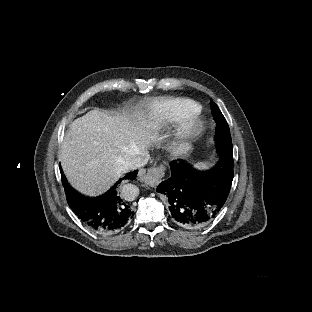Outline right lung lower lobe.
<instances>
[{
	"instance_id": "1",
	"label": "right lung lower lobe",
	"mask_w": 312,
	"mask_h": 312,
	"mask_svg": "<svg viewBox=\"0 0 312 312\" xmlns=\"http://www.w3.org/2000/svg\"><path fill=\"white\" fill-rule=\"evenodd\" d=\"M138 170L126 174L106 193L97 197H85L71 189L62 174L67 202L84 225L100 234L117 233L127 227L134 212L119 190L122 180H134Z\"/></svg>"
}]
</instances>
